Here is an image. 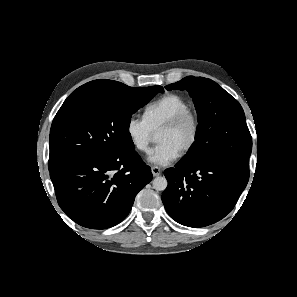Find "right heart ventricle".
I'll return each instance as SVG.
<instances>
[{"instance_id":"1","label":"right heart ventricle","mask_w":297,"mask_h":297,"mask_svg":"<svg viewBox=\"0 0 297 297\" xmlns=\"http://www.w3.org/2000/svg\"><path fill=\"white\" fill-rule=\"evenodd\" d=\"M189 108V102L181 95L166 93L146 105L144 118L153 132H157L163 124L176 114Z\"/></svg>"}]
</instances>
